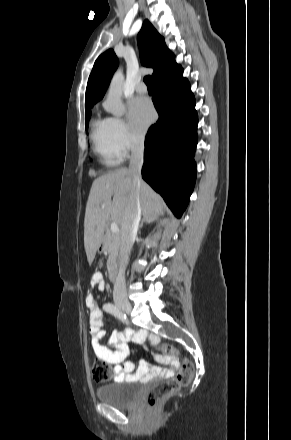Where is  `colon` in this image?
I'll use <instances>...</instances> for the list:
<instances>
[{"label": "colon", "instance_id": "colon-1", "mask_svg": "<svg viewBox=\"0 0 291 440\" xmlns=\"http://www.w3.org/2000/svg\"><path fill=\"white\" fill-rule=\"evenodd\" d=\"M160 350L162 355L158 356L159 359L171 357L176 354L175 348L168 343H163L160 346ZM193 374V363L188 359H183L180 364V369L174 379L160 381L153 384L148 391L145 401L146 405L150 408L157 407L160 401L177 392L180 388L188 385L192 380ZM92 375L95 381H107L111 377L109 364L103 360L96 362L92 367Z\"/></svg>", "mask_w": 291, "mask_h": 440}]
</instances>
